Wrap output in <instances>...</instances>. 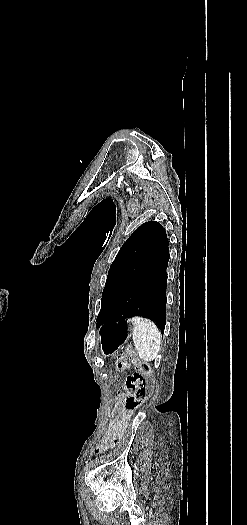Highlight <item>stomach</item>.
<instances>
[{
    "mask_svg": "<svg viewBox=\"0 0 247 525\" xmlns=\"http://www.w3.org/2000/svg\"><path fill=\"white\" fill-rule=\"evenodd\" d=\"M133 332L130 320L103 325L99 331L100 350L103 355L110 356L129 339Z\"/></svg>",
    "mask_w": 247,
    "mask_h": 525,
    "instance_id": "obj_1",
    "label": "stomach"
}]
</instances>
